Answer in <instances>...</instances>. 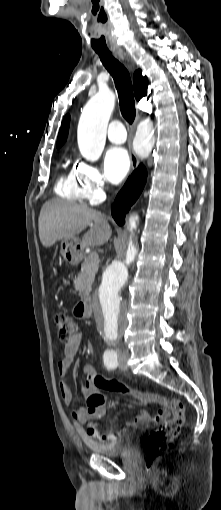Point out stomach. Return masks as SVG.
Returning a JSON list of instances; mask_svg holds the SVG:
<instances>
[{
  "mask_svg": "<svg viewBox=\"0 0 221 510\" xmlns=\"http://www.w3.org/2000/svg\"><path fill=\"white\" fill-rule=\"evenodd\" d=\"M82 247L78 239L67 238L61 242V254L67 261L74 262L81 258Z\"/></svg>",
  "mask_w": 221,
  "mask_h": 510,
  "instance_id": "obj_1",
  "label": "stomach"
}]
</instances>
